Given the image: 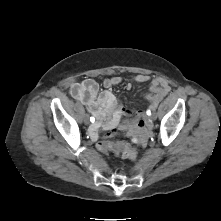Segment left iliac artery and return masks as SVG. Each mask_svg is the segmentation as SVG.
I'll use <instances>...</instances> for the list:
<instances>
[{
	"instance_id": "1",
	"label": "left iliac artery",
	"mask_w": 221,
	"mask_h": 221,
	"mask_svg": "<svg viewBox=\"0 0 221 221\" xmlns=\"http://www.w3.org/2000/svg\"><path fill=\"white\" fill-rule=\"evenodd\" d=\"M153 110H155L156 106H152L151 107ZM148 114H150V111L147 112Z\"/></svg>"
}]
</instances>
